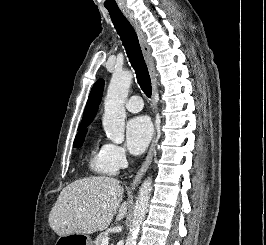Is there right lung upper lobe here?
Listing matches in <instances>:
<instances>
[{"mask_svg": "<svg viewBox=\"0 0 266 245\" xmlns=\"http://www.w3.org/2000/svg\"><path fill=\"white\" fill-rule=\"evenodd\" d=\"M103 88L104 81L99 79L90 92L80 126L90 124L93 121L102 98Z\"/></svg>", "mask_w": 266, "mask_h": 245, "instance_id": "cb5924a9", "label": "right lung upper lobe"}]
</instances>
